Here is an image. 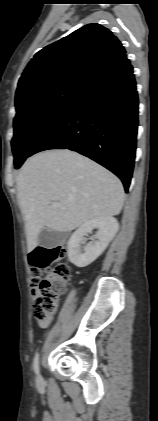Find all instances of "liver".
Masks as SVG:
<instances>
[{
    "label": "liver",
    "instance_id": "liver-1",
    "mask_svg": "<svg viewBox=\"0 0 158 421\" xmlns=\"http://www.w3.org/2000/svg\"><path fill=\"white\" fill-rule=\"evenodd\" d=\"M17 199L32 251L44 227L70 232L83 223L118 215L121 181L92 160L70 150H47L28 158L17 177ZM58 202L61 207L54 208Z\"/></svg>",
    "mask_w": 158,
    "mask_h": 421
}]
</instances>
